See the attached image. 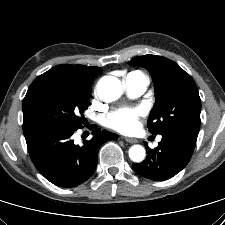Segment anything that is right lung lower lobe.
Listing matches in <instances>:
<instances>
[{
  "label": "right lung lower lobe",
  "mask_w": 225,
  "mask_h": 225,
  "mask_svg": "<svg viewBox=\"0 0 225 225\" xmlns=\"http://www.w3.org/2000/svg\"><path fill=\"white\" fill-rule=\"evenodd\" d=\"M76 130L49 121L23 123L32 162L47 180L59 187H74L90 178L100 146L118 138L114 133L95 129L93 138L79 146L71 139Z\"/></svg>",
  "instance_id": "98d812e1"
}]
</instances>
